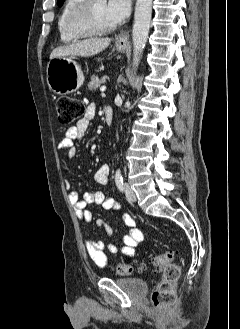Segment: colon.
Wrapping results in <instances>:
<instances>
[{
    "label": "colon",
    "instance_id": "colon-1",
    "mask_svg": "<svg viewBox=\"0 0 240 329\" xmlns=\"http://www.w3.org/2000/svg\"><path fill=\"white\" fill-rule=\"evenodd\" d=\"M56 107L59 123L64 126L73 124L83 116L85 111L78 99L69 96H60L56 100ZM176 254L177 251L169 250L152 255L149 257L147 264H142L143 267H149L161 273V279L151 296V302L156 309H166L172 306L176 300L177 283L181 267L170 263ZM132 270L131 266H116V271L122 275L130 274Z\"/></svg>",
    "mask_w": 240,
    "mask_h": 329
}]
</instances>
